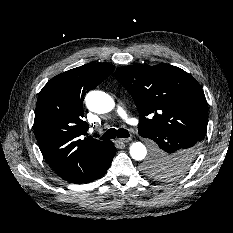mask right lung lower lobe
Instances as JSON below:
<instances>
[{"label":"right lung lower lobe","mask_w":233,"mask_h":233,"mask_svg":"<svg viewBox=\"0 0 233 233\" xmlns=\"http://www.w3.org/2000/svg\"><path fill=\"white\" fill-rule=\"evenodd\" d=\"M116 154L114 144L110 143L98 154L86 158L79 166L67 171L61 178L70 183H89L103 176Z\"/></svg>","instance_id":"right-lung-lower-lobe-1"}]
</instances>
